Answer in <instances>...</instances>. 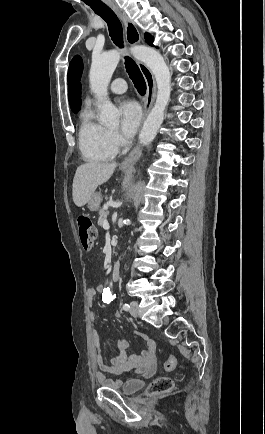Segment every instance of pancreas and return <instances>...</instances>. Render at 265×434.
<instances>
[{"label": "pancreas", "mask_w": 265, "mask_h": 434, "mask_svg": "<svg viewBox=\"0 0 265 434\" xmlns=\"http://www.w3.org/2000/svg\"><path fill=\"white\" fill-rule=\"evenodd\" d=\"M109 212H105L104 208H101V210H99V218H98V226H103L105 220H107V216H108Z\"/></svg>", "instance_id": "obj_1"}]
</instances>
